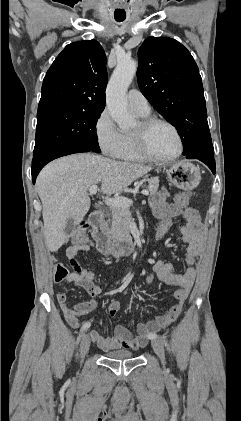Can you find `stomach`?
I'll use <instances>...</instances> for the list:
<instances>
[{
	"mask_svg": "<svg viewBox=\"0 0 241 421\" xmlns=\"http://www.w3.org/2000/svg\"><path fill=\"white\" fill-rule=\"evenodd\" d=\"M169 180L177 187L185 190L195 188L200 180L199 169L190 162L180 161L167 169Z\"/></svg>",
	"mask_w": 241,
	"mask_h": 421,
	"instance_id": "stomach-1",
	"label": "stomach"
}]
</instances>
